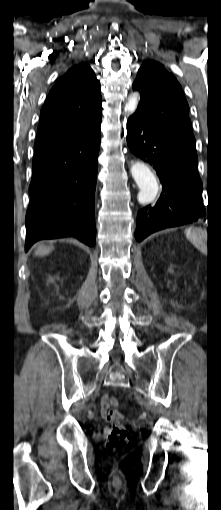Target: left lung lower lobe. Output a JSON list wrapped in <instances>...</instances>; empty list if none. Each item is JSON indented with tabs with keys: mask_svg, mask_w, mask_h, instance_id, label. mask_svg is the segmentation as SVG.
Instances as JSON below:
<instances>
[{
	"mask_svg": "<svg viewBox=\"0 0 221 510\" xmlns=\"http://www.w3.org/2000/svg\"><path fill=\"white\" fill-rule=\"evenodd\" d=\"M127 144L133 154L153 166L163 186L157 203L138 211L137 241L206 215L196 152L162 137L136 113L128 120Z\"/></svg>",
	"mask_w": 221,
	"mask_h": 510,
	"instance_id": "1",
	"label": "left lung lower lobe"
}]
</instances>
